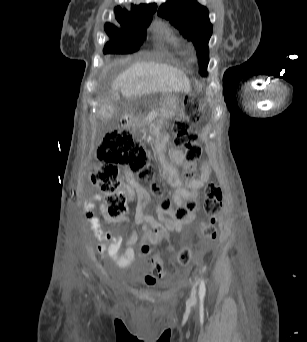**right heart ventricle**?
<instances>
[{
  "mask_svg": "<svg viewBox=\"0 0 307 342\" xmlns=\"http://www.w3.org/2000/svg\"><path fill=\"white\" fill-rule=\"evenodd\" d=\"M166 38L170 41V43L178 48L179 47V40H180V35L179 33L173 31V30H170L166 33Z\"/></svg>",
  "mask_w": 307,
  "mask_h": 342,
  "instance_id": "right-heart-ventricle-1",
  "label": "right heart ventricle"
}]
</instances>
